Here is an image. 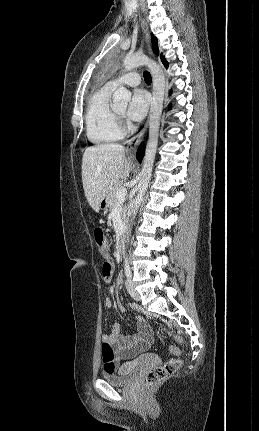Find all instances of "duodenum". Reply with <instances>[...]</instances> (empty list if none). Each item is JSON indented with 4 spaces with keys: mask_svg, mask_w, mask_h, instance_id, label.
<instances>
[{
    "mask_svg": "<svg viewBox=\"0 0 259 431\" xmlns=\"http://www.w3.org/2000/svg\"><path fill=\"white\" fill-rule=\"evenodd\" d=\"M116 249L120 252L123 250V231L122 230H120L119 232V236L116 242Z\"/></svg>",
    "mask_w": 259,
    "mask_h": 431,
    "instance_id": "duodenum-1",
    "label": "duodenum"
}]
</instances>
